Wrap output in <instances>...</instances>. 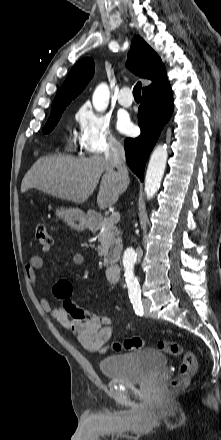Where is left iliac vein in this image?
<instances>
[{"label": "left iliac vein", "instance_id": "4c4485c4", "mask_svg": "<svg viewBox=\"0 0 221 440\" xmlns=\"http://www.w3.org/2000/svg\"><path fill=\"white\" fill-rule=\"evenodd\" d=\"M149 306H150V301H149V299H144V300H143V307H144V313H145V316H146V317L149 316Z\"/></svg>", "mask_w": 221, "mask_h": 440}]
</instances>
